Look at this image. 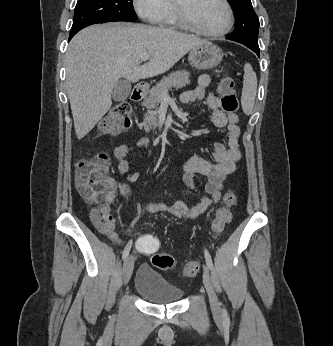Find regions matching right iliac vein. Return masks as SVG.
<instances>
[{
	"label": "right iliac vein",
	"instance_id": "obj_1",
	"mask_svg": "<svg viewBox=\"0 0 333 346\" xmlns=\"http://www.w3.org/2000/svg\"><path fill=\"white\" fill-rule=\"evenodd\" d=\"M133 267H134V258L132 255H130L125 259L123 264L122 274H123L124 285H126L128 281L130 280V277L133 272Z\"/></svg>",
	"mask_w": 333,
	"mask_h": 346
}]
</instances>
